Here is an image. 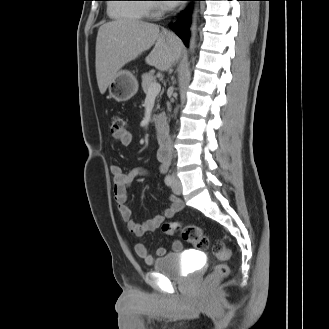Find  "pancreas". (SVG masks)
Returning <instances> with one entry per match:
<instances>
[{
    "instance_id": "pancreas-1",
    "label": "pancreas",
    "mask_w": 329,
    "mask_h": 329,
    "mask_svg": "<svg viewBox=\"0 0 329 329\" xmlns=\"http://www.w3.org/2000/svg\"><path fill=\"white\" fill-rule=\"evenodd\" d=\"M154 82H156V77L152 72L144 73L142 75V89L146 95L148 94L150 85ZM153 120H156V117H154Z\"/></svg>"
}]
</instances>
